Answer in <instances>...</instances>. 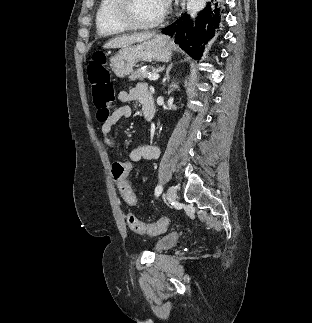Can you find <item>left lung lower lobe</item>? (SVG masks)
I'll use <instances>...</instances> for the list:
<instances>
[{"label": "left lung lower lobe", "mask_w": 312, "mask_h": 323, "mask_svg": "<svg viewBox=\"0 0 312 323\" xmlns=\"http://www.w3.org/2000/svg\"><path fill=\"white\" fill-rule=\"evenodd\" d=\"M223 13L222 2L211 0L196 19H191L184 14L176 23L164 28L162 32L169 35L176 32L175 42L192 58L199 59L206 45L212 49L220 40Z\"/></svg>", "instance_id": "0a47b994"}]
</instances>
